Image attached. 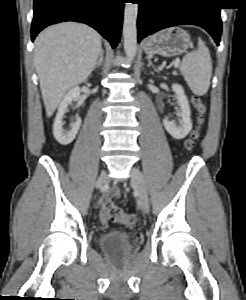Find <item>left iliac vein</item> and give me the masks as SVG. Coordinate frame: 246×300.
Listing matches in <instances>:
<instances>
[{
    "instance_id": "left-iliac-vein-1",
    "label": "left iliac vein",
    "mask_w": 246,
    "mask_h": 300,
    "mask_svg": "<svg viewBox=\"0 0 246 300\" xmlns=\"http://www.w3.org/2000/svg\"><path fill=\"white\" fill-rule=\"evenodd\" d=\"M131 184L135 186L139 193V204L141 209L147 213L149 211V198L146 181L142 172L136 168H131Z\"/></svg>"
}]
</instances>
